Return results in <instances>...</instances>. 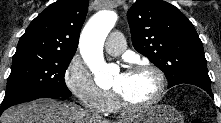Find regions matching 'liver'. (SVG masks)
<instances>
[{"mask_svg":"<svg viewBox=\"0 0 221 123\" xmlns=\"http://www.w3.org/2000/svg\"><path fill=\"white\" fill-rule=\"evenodd\" d=\"M2 123H111L71 104L51 99L13 106L1 116ZM129 122V121H126ZM118 123H125L119 121Z\"/></svg>","mask_w":221,"mask_h":123,"instance_id":"1","label":"liver"}]
</instances>
